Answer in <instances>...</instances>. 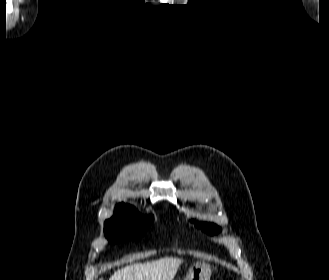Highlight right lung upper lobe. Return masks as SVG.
<instances>
[{"mask_svg":"<svg viewBox=\"0 0 329 280\" xmlns=\"http://www.w3.org/2000/svg\"><path fill=\"white\" fill-rule=\"evenodd\" d=\"M117 207L130 208V209H132V210H134V211L137 212V210L134 207H132L130 205H125L124 203H121V204L117 205Z\"/></svg>","mask_w":329,"mask_h":280,"instance_id":"1","label":"right lung upper lobe"}]
</instances>
